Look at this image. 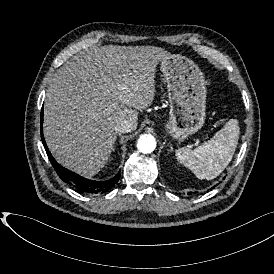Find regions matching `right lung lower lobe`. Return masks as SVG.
<instances>
[{
  "label": "right lung lower lobe",
  "instance_id": "obj_1",
  "mask_svg": "<svg viewBox=\"0 0 274 274\" xmlns=\"http://www.w3.org/2000/svg\"><path fill=\"white\" fill-rule=\"evenodd\" d=\"M42 123H43V107L41 110V139L51 164L53 165L58 176L64 182L75 187L80 192L90 193V194L105 193L108 190H110L118 182L120 178V173H117L116 176H114L112 179H109L107 181H92V180L83 178L79 176L78 174L73 173L69 171L68 169L62 167L60 164H58L55 161V159L52 157L51 153L49 152L46 146V142L44 140L43 133H42Z\"/></svg>",
  "mask_w": 274,
  "mask_h": 274
}]
</instances>
